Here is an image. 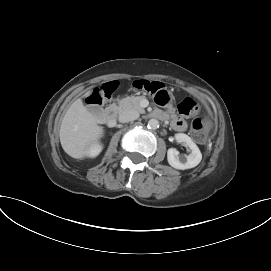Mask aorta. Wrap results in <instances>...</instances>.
<instances>
[{"label":"aorta","instance_id":"obj_1","mask_svg":"<svg viewBox=\"0 0 271 271\" xmlns=\"http://www.w3.org/2000/svg\"><path fill=\"white\" fill-rule=\"evenodd\" d=\"M148 127L150 129H157L159 127V122L157 119H150L148 121Z\"/></svg>","mask_w":271,"mask_h":271}]
</instances>
